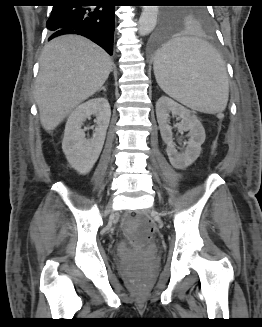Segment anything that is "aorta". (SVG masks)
<instances>
[{
    "mask_svg": "<svg viewBox=\"0 0 262 327\" xmlns=\"http://www.w3.org/2000/svg\"><path fill=\"white\" fill-rule=\"evenodd\" d=\"M159 13L158 6H143L138 22V32L141 36L148 35L155 28Z\"/></svg>",
    "mask_w": 262,
    "mask_h": 327,
    "instance_id": "762f6f07",
    "label": "aorta"
}]
</instances>
